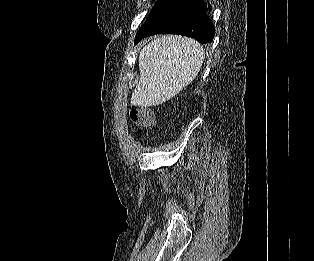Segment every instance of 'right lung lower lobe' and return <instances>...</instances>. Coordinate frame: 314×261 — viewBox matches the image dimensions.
Listing matches in <instances>:
<instances>
[{"mask_svg": "<svg viewBox=\"0 0 314 261\" xmlns=\"http://www.w3.org/2000/svg\"><path fill=\"white\" fill-rule=\"evenodd\" d=\"M203 0H175L137 32L135 43L154 34H180L205 44L213 41L214 25Z\"/></svg>", "mask_w": 314, "mask_h": 261, "instance_id": "obj_1", "label": "right lung lower lobe"}]
</instances>
